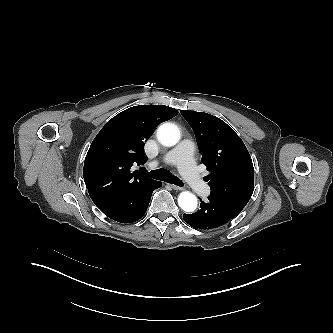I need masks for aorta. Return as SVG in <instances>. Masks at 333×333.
Listing matches in <instances>:
<instances>
[{
    "label": "aorta",
    "instance_id": "762f6f07",
    "mask_svg": "<svg viewBox=\"0 0 333 333\" xmlns=\"http://www.w3.org/2000/svg\"><path fill=\"white\" fill-rule=\"evenodd\" d=\"M157 138L164 146H174L180 140V130L173 123H164L157 130ZM178 205L185 212H193L197 207V197L189 191L181 192Z\"/></svg>",
    "mask_w": 333,
    "mask_h": 333
}]
</instances>
